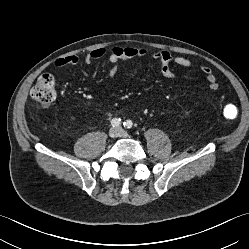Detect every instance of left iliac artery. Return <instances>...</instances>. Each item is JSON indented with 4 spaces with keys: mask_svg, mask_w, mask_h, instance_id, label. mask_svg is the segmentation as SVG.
<instances>
[{
    "mask_svg": "<svg viewBox=\"0 0 249 249\" xmlns=\"http://www.w3.org/2000/svg\"><path fill=\"white\" fill-rule=\"evenodd\" d=\"M124 127L130 129L132 126H133V123L131 120H126L124 123H123Z\"/></svg>",
    "mask_w": 249,
    "mask_h": 249,
    "instance_id": "44dca946",
    "label": "left iliac artery"
}]
</instances>
